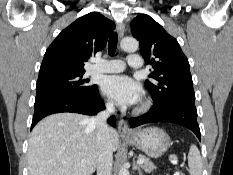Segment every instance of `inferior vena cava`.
Returning a JSON list of instances; mask_svg holds the SVG:
<instances>
[{
	"mask_svg": "<svg viewBox=\"0 0 233 175\" xmlns=\"http://www.w3.org/2000/svg\"><path fill=\"white\" fill-rule=\"evenodd\" d=\"M115 112L112 102L106 104V110L90 119V123L96 127L98 139V163L97 175H112L113 150L110 142L107 118Z\"/></svg>",
	"mask_w": 233,
	"mask_h": 175,
	"instance_id": "inferior-vena-cava-1",
	"label": "inferior vena cava"
}]
</instances>
